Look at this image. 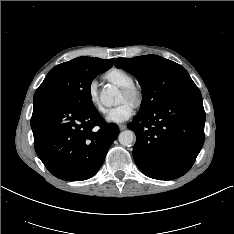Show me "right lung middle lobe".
Wrapping results in <instances>:
<instances>
[{
    "label": "right lung middle lobe",
    "instance_id": "obj_1",
    "mask_svg": "<svg viewBox=\"0 0 234 234\" xmlns=\"http://www.w3.org/2000/svg\"><path fill=\"white\" fill-rule=\"evenodd\" d=\"M78 58L51 69L36 90L33 100L57 99L80 108L92 107L91 83L97 75L107 70L86 68Z\"/></svg>",
    "mask_w": 234,
    "mask_h": 234
}]
</instances>
